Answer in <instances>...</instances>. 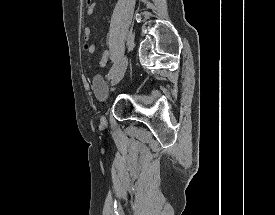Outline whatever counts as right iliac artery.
<instances>
[{"label":"right iliac artery","mask_w":275,"mask_h":215,"mask_svg":"<svg viewBox=\"0 0 275 215\" xmlns=\"http://www.w3.org/2000/svg\"><path fill=\"white\" fill-rule=\"evenodd\" d=\"M117 67H118V62L115 61L112 65V68H111L109 74H108V78H111L112 73L117 69Z\"/></svg>","instance_id":"1"}]
</instances>
